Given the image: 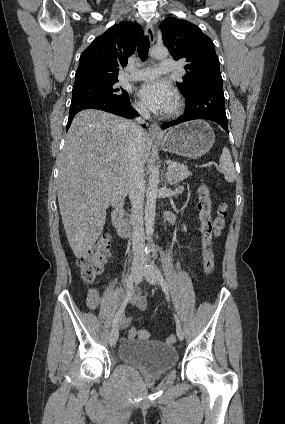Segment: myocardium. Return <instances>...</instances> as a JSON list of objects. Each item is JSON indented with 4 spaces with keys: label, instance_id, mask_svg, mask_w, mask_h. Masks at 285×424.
Segmentation results:
<instances>
[{
    "label": "myocardium",
    "instance_id": "f54148a6",
    "mask_svg": "<svg viewBox=\"0 0 285 424\" xmlns=\"http://www.w3.org/2000/svg\"><path fill=\"white\" fill-rule=\"evenodd\" d=\"M181 106H182V103L179 100H176L173 105V108L169 112V115L172 116V115L178 114L181 110Z\"/></svg>",
    "mask_w": 285,
    "mask_h": 424
}]
</instances>
